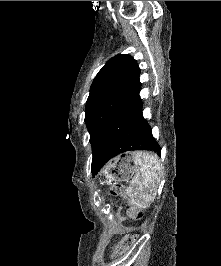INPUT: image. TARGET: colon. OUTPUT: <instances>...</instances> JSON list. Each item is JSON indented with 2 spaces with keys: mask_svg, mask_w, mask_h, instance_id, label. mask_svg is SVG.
<instances>
[{
  "mask_svg": "<svg viewBox=\"0 0 221 266\" xmlns=\"http://www.w3.org/2000/svg\"><path fill=\"white\" fill-rule=\"evenodd\" d=\"M122 190V185L115 184L111 187L110 193L114 196H117L122 192ZM123 206L126 209L127 214L132 219H140L142 217V212L131 201H124ZM136 238L137 236L135 234L126 235L115 247L113 255L118 256L128 251L135 243Z\"/></svg>",
  "mask_w": 221,
  "mask_h": 266,
  "instance_id": "1",
  "label": "colon"
}]
</instances>
